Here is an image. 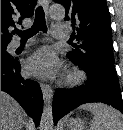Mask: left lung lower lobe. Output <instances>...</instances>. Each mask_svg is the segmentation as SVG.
Returning <instances> with one entry per match:
<instances>
[{
  "label": "left lung lower lobe",
  "instance_id": "obj_1",
  "mask_svg": "<svg viewBox=\"0 0 123 130\" xmlns=\"http://www.w3.org/2000/svg\"><path fill=\"white\" fill-rule=\"evenodd\" d=\"M87 73L86 85L76 89H57L53 99L54 124L78 106L101 102L123 113V101L116 73L80 65Z\"/></svg>",
  "mask_w": 123,
  "mask_h": 130
}]
</instances>
